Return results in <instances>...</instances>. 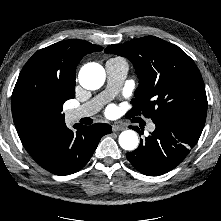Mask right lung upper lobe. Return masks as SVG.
Here are the masks:
<instances>
[{
    "mask_svg": "<svg viewBox=\"0 0 221 221\" xmlns=\"http://www.w3.org/2000/svg\"><path fill=\"white\" fill-rule=\"evenodd\" d=\"M103 48L83 40H65L38 50L25 64L20 75L32 74L59 81L75 91V69L83 56ZM19 75V76H20ZM14 124L22 143L34 135L65 127L64 117L54 121L31 119L12 110Z\"/></svg>",
    "mask_w": 221,
    "mask_h": 221,
    "instance_id": "obj_1",
    "label": "right lung upper lobe"
}]
</instances>
